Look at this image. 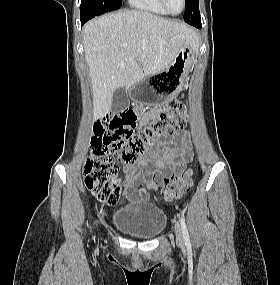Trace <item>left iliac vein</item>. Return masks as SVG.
<instances>
[{
  "mask_svg": "<svg viewBox=\"0 0 280 285\" xmlns=\"http://www.w3.org/2000/svg\"><path fill=\"white\" fill-rule=\"evenodd\" d=\"M174 232H175L176 240H177L178 244L182 245L183 244V233H182V229L178 223H176L174 226Z\"/></svg>",
  "mask_w": 280,
  "mask_h": 285,
  "instance_id": "1",
  "label": "left iliac vein"
}]
</instances>
